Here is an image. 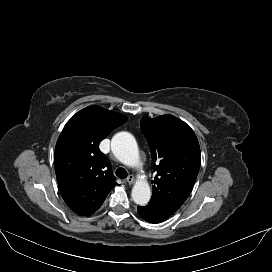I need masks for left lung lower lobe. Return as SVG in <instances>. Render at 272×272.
Instances as JSON below:
<instances>
[{
	"label": "left lung lower lobe",
	"mask_w": 272,
	"mask_h": 272,
	"mask_svg": "<svg viewBox=\"0 0 272 272\" xmlns=\"http://www.w3.org/2000/svg\"><path fill=\"white\" fill-rule=\"evenodd\" d=\"M138 212L144 220L150 223H160L169 218V216L157 211L148 205L138 206Z\"/></svg>",
	"instance_id": "0a47b994"
}]
</instances>
